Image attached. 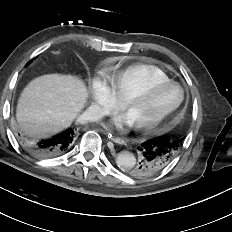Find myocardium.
<instances>
[{"instance_id":"obj_1","label":"myocardium","mask_w":232,"mask_h":232,"mask_svg":"<svg viewBox=\"0 0 232 232\" xmlns=\"http://www.w3.org/2000/svg\"><path fill=\"white\" fill-rule=\"evenodd\" d=\"M168 86H175L179 88L180 90V99L175 103L170 109L165 111L161 116L158 118L147 121L138 125H135V128L139 131H150L161 125L164 121H166L170 116H172L184 102L185 99V89L182 87V85L174 80H168L165 82L157 83L153 86H150L144 90H141L139 92H136L122 102V108L127 110L131 105L135 103H140L145 101L147 98L153 96L155 93L159 92L163 88H166Z\"/></svg>"}]
</instances>
